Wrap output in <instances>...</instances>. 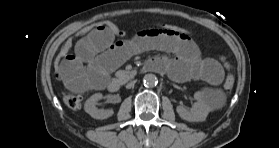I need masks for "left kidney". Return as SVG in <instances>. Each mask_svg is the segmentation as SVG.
I'll return each instance as SVG.
<instances>
[{"label":"left kidney","instance_id":"5707ae66","mask_svg":"<svg viewBox=\"0 0 279 148\" xmlns=\"http://www.w3.org/2000/svg\"><path fill=\"white\" fill-rule=\"evenodd\" d=\"M194 98L196 99V102L190 110L186 109L184 106H177L176 111L184 120L190 122H203L206 120V117L212 108L202 92H195Z\"/></svg>","mask_w":279,"mask_h":148}]
</instances>
